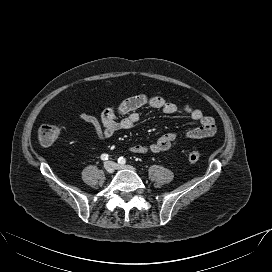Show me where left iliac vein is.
<instances>
[{
    "mask_svg": "<svg viewBox=\"0 0 272 272\" xmlns=\"http://www.w3.org/2000/svg\"><path fill=\"white\" fill-rule=\"evenodd\" d=\"M108 163H110L113 166V168L116 170L127 169L130 171H135V168H133L132 166H129V165H120L115 162H108Z\"/></svg>",
    "mask_w": 272,
    "mask_h": 272,
    "instance_id": "1",
    "label": "left iliac vein"
}]
</instances>
